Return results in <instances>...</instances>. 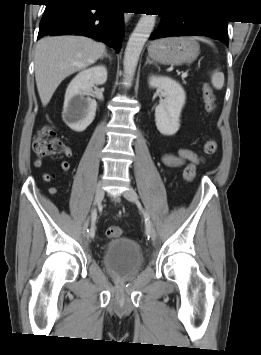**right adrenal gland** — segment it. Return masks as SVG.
<instances>
[{
	"label": "right adrenal gland",
	"instance_id": "obj_1",
	"mask_svg": "<svg viewBox=\"0 0 261 355\" xmlns=\"http://www.w3.org/2000/svg\"><path fill=\"white\" fill-rule=\"evenodd\" d=\"M105 57L109 58V60L111 61V56L107 53V51L104 52L103 56L101 57V60H103Z\"/></svg>",
	"mask_w": 261,
	"mask_h": 355
}]
</instances>
